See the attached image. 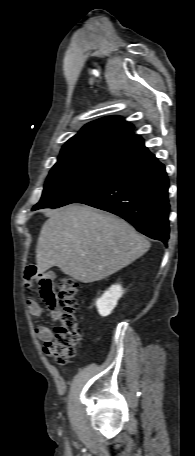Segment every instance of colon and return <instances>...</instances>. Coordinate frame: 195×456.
Returning <instances> with one entry per match:
<instances>
[{
    "label": "colon",
    "instance_id": "5ec220e1",
    "mask_svg": "<svg viewBox=\"0 0 195 456\" xmlns=\"http://www.w3.org/2000/svg\"><path fill=\"white\" fill-rule=\"evenodd\" d=\"M56 305L59 324L54 329L55 337L45 343L44 351L58 364L64 365L76 355L81 341L82 301L74 278L62 276L58 279Z\"/></svg>",
    "mask_w": 195,
    "mask_h": 456
}]
</instances>
